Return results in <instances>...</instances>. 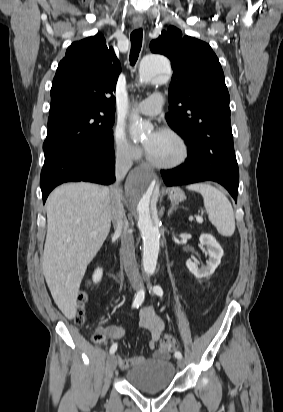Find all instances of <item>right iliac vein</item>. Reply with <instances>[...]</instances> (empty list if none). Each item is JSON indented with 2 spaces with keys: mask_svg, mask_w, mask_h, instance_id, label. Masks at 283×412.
<instances>
[{
  "mask_svg": "<svg viewBox=\"0 0 283 412\" xmlns=\"http://www.w3.org/2000/svg\"><path fill=\"white\" fill-rule=\"evenodd\" d=\"M117 367V358L116 356L113 354L109 357L108 360V369L109 371H114Z\"/></svg>",
  "mask_w": 283,
  "mask_h": 412,
  "instance_id": "63e3f726",
  "label": "right iliac vein"
}]
</instances>
